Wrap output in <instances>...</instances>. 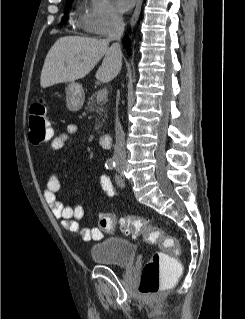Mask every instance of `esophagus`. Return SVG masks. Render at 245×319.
<instances>
[{
	"label": "esophagus",
	"mask_w": 245,
	"mask_h": 319,
	"mask_svg": "<svg viewBox=\"0 0 245 319\" xmlns=\"http://www.w3.org/2000/svg\"><path fill=\"white\" fill-rule=\"evenodd\" d=\"M141 5H142V0H137L135 10H134L133 15H132L131 20H130V26L132 28L136 25V23L138 21V18L140 15V10H141Z\"/></svg>",
	"instance_id": "1"
}]
</instances>
